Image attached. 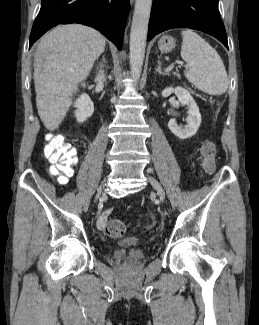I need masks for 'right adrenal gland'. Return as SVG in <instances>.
Returning <instances> with one entry per match:
<instances>
[{
	"label": "right adrenal gland",
	"instance_id": "obj_1",
	"mask_svg": "<svg viewBox=\"0 0 259 325\" xmlns=\"http://www.w3.org/2000/svg\"><path fill=\"white\" fill-rule=\"evenodd\" d=\"M103 62L106 63L104 56H103Z\"/></svg>",
	"mask_w": 259,
	"mask_h": 325
}]
</instances>
